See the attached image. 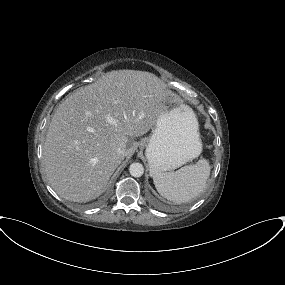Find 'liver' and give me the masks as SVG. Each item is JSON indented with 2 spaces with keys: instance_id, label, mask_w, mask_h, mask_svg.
<instances>
[{
  "instance_id": "obj_1",
  "label": "liver",
  "mask_w": 285,
  "mask_h": 285,
  "mask_svg": "<svg viewBox=\"0 0 285 285\" xmlns=\"http://www.w3.org/2000/svg\"><path fill=\"white\" fill-rule=\"evenodd\" d=\"M168 92L149 72L117 70L69 95L53 115L43 146L45 173L55 192L73 202L98 197L133 154L131 140L163 116L161 100ZM118 148L125 149L124 157Z\"/></svg>"
}]
</instances>
